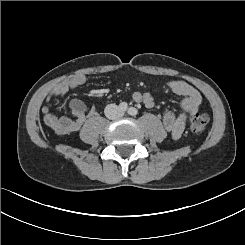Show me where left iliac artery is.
Listing matches in <instances>:
<instances>
[{
	"label": "left iliac artery",
	"instance_id": "left-iliac-artery-1",
	"mask_svg": "<svg viewBox=\"0 0 245 245\" xmlns=\"http://www.w3.org/2000/svg\"><path fill=\"white\" fill-rule=\"evenodd\" d=\"M128 114L131 115V116H135V115L138 114V110L135 107H130L128 109Z\"/></svg>",
	"mask_w": 245,
	"mask_h": 245
}]
</instances>
